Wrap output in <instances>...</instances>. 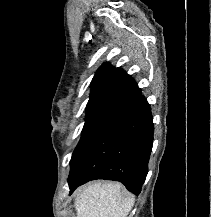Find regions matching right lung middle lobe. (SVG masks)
Here are the masks:
<instances>
[{"label": "right lung middle lobe", "mask_w": 211, "mask_h": 217, "mask_svg": "<svg viewBox=\"0 0 211 217\" xmlns=\"http://www.w3.org/2000/svg\"><path fill=\"white\" fill-rule=\"evenodd\" d=\"M113 120L114 118L111 117L86 118L85 125L82 130V137L71 158L70 172L74 169L85 152L91 147L96 138Z\"/></svg>", "instance_id": "1"}]
</instances>
